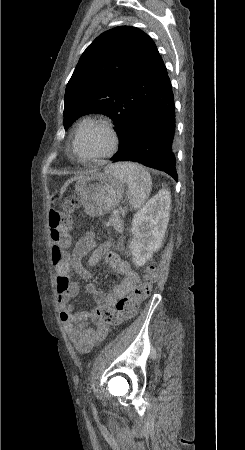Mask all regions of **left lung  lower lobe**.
I'll return each instance as SVG.
<instances>
[{"label": "left lung lower lobe", "mask_w": 245, "mask_h": 450, "mask_svg": "<svg viewBox=\"0 0 245 450\" xmlns=\"http://www.w3.org/2000/svg\"><path fill=\"white\" fill-rule=\"evenodd\" d=\"M175 125L174 95L167 74L143 106L126 145L110 160L139 162L164 171L177 181L173 148Z\"/></svg>", "instance_id": "left-lung-lower-lobe-1"}]
</instances>
